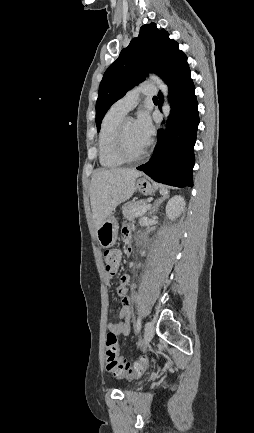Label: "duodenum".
I'll return each mask as SVG.
<instances>
[{
	"label": "duodenum",
	"instance_id": "duodenum-1",
	"mask_svg": "<svg viewBox=\"0 0 254 433\" xmlns=\"http://www.w3.org/2000/svg\"><path fill=\"white\" fill-rule=\"evenodd\" d=\"M127 248H128V250H132L133 249V242H132L131 238H129L127 240Z\"/></svg>",
	"mask_w": 254,
	"mask_h": 433
}]
</instances>
